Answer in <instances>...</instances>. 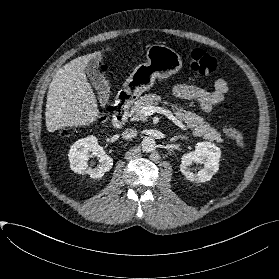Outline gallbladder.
I'll use <instances>...</instances> for the list:
<instances>
[{
  "instance_id": "obj_1",
  "label": "gallbladder",
  "mask_w": 279,
  "mask_h": 279,
  "mask_svg": "<svg viewBox=\"0 0 279 279\" xmlns=\"http://www.w3.org/2000/svg\"><path fill=\"white\" fill-rule=\"evenodd\" d=\"M103 56L98 54L94 56L85 68V73L90 81L91 85L97 90L99 100L102 106L108 103L110 96V84L106 79L105 74L101 71L100 62Z\"/></svg>"
}]
</instances>
